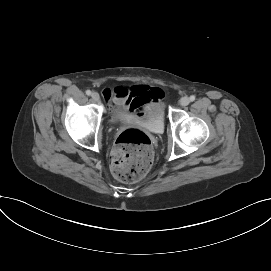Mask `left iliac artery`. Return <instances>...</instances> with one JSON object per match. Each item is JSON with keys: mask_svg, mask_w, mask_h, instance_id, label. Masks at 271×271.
<instances>
[{"mask_svg": "<svg viewBox=\"0 0 271 271\" xmlns=\"http://www.w3.org/2000/svg\"><path fill=\"white\" fill-rule=\"evenodd\" d=\"M195 100V96L194 95H191L190 96V101H194Z\"/></svg>", "mask_w": 271, "mask_h": 271, "instance_id": "1", "label": "left iliac artery"}]
</instances>
